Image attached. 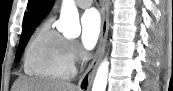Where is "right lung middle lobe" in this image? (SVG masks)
Segmentation results:
<instances>
[{
	"instance_id": "obj_1",
	"label": "right lung middle lobe",
	"mask_w": 173,
	"mask_h": 91,
	"mask_svg": "<svg viewBox=\"0 0 173 91\" xmlns=\"http://www.w3.org/2000/svg\"><path fill=\"white\" fill-rule=\"evenodd\" d=\"M34 30L32 31H29L27 33H23L21 35V38H20V43H19V46H18V50H17V54H16V57H15V61H19L20 57H21V54L27 44V41L28 39L30 38L31 34L33 33Z\"/></svg>"
}]
</instances>
